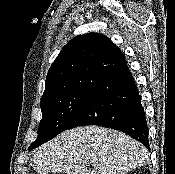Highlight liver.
Returning a JSON list of instances; mask_svg holds the SVG:
<instances>
[{"mask_svg":"<svg viewBox=\"0 0 175 174\" xmlns=\"http://www.w3.org/2000/svg\"><path fill=\"white\" fill-rule=\"evenodd\" d=\"M148 159V150L125 133L91 125L64 131L45 143L30 165L39 174H127Z\"/></svg>","mask_w":175,"mask_h":174,"instance_id":"6515ba94","label":"liver"}]
</instances>
